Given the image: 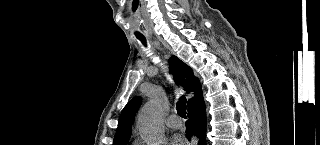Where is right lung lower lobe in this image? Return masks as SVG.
<instances>
[{
  "instance_id": "right-lung-lower-lobe-1",
  "label": "right lung lower lobe",
  "mask_w": 320,
  "mask_h": 145,
  "mask_svg": "<svg viewBox=\"0 0 320 145\" xmlns=\"http://www.w3.org/2000/svg\"><path fill=\"white\" fill-rule=\"evenodd\" d=\"M205 104L201 96L188 108L189 120L186 122V134L190 138L192 134L199 137V145H206V117L203 114Z\"/></svg>"
}]
</instances>
